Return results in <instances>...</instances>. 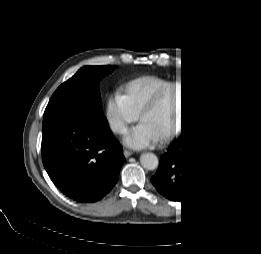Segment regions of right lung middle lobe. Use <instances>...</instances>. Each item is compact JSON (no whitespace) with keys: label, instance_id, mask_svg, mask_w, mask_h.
Instances as JSON below:
<instances>
[{"label":"right lung middle lobe","instance_id":"dd1d6c3e","mask_svg":"<svg viewBox=\"0 0 261 254\" xmlns=\"http://www.w3.org/2000/svg\"><path fill=\"white\" fill-rule=\"evenodd\" d=\"M114 66H85L64 82L52 95L46 110L72 108L98 123L107 124L98 89L100 80Z\"/></svg>","mask_w":261,"mask_h":254}]
</instances>
